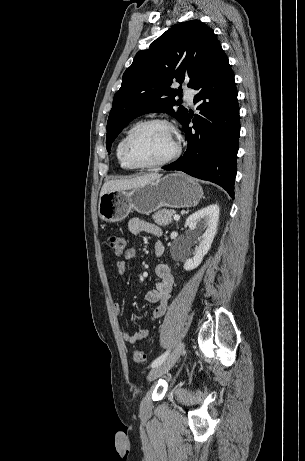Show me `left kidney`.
Listing matches in <instances>:
<instances>
[{"label": "left kidney", "mask_w": 305, "mask_h": 461, "mask_svg": "<svg viewBox=\"0 0 305 461\" xmlns=\"http://www.w3.org/2000/svg\"><path fill=\"white\" fill-rule=\"evenodd\" d=\"M219 211L217 204H211L187 218L186 225L191 231H195L200 236V242L190 257L186 259L184 263L185 270L189 271L197 268L201 264L203 257L208 253L217 232Z\"/></svg>", "instance_id": "left-kidney-1"}]
</instances>
